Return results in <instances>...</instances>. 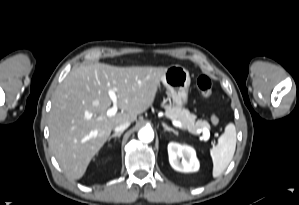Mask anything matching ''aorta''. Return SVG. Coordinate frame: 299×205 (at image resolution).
Segmentation results:
<instances>
[{
    "instance_id": "1",
    "label": "aorta",
    "mask_w": 299,
    "mask_h": 205,
    "mask_svg": "<svg viewBox=\"0 0 299 205\" xmlns=\"http://www.w3.org/2000/svg\"><path fill=\"white\" fill-rule=\"evenodd\" d=\"M138 138L145 143H149L154 139V131L150 127H144L139 130Z\"/></svg>"
}]
</instances>
